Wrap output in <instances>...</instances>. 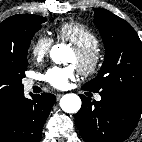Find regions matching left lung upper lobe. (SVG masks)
Returning a JSON list of instances; mask_svg holds the SVG:
<instances>
[{
  "label": "left lung upper lobe",
  "instance_id": "obj_1",
  "mask_svg": "<svg viewBox=\"0 0 142 142\" xmlns=\"http://www.w3.org/2000/svg\"><path fill=\"white\" fill-rule=\"evenodd\" d=\"M94 12L105 58L98 76L82 88L142 106V42L125 20L105 9L96 8Z\"/></svg>",
  "mask_w": 142,
  "mask_h": 142
}]
</instances>
